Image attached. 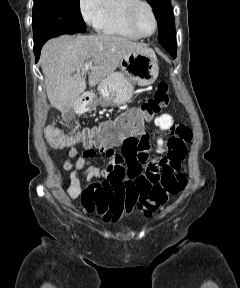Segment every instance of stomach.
<instances>
[{"label": "stomach", "mask_w": 240, "mask_h": 288, "mask_svg": "<svg viewBox=\"0 0 240 288\" xmlns=\"http://www.w3.org/2000/svg\"><path fill=\"white\" fill-rule=\"evenodd\" d=\"M119 66L120 72L111 73L99 83V97L91 101V108L122 105L131 99L136 84L150 85L159 74L157 58L148 52H129L121 59Z\"/></svg>", "instance_id": "1"}]
</instances>
